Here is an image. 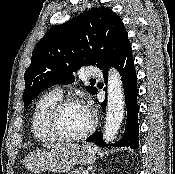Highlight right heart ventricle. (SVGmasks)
Returning <instances> with one entry per match:
<instances>
[{"instance_id":"obj_1","label":"right heart ventricle","mask_w":175,"mask_h":174,"mask_svg":"<svg viewBox=\"0 0 175 174\" xmlns=\"http://www.w3.org/2000/svg\"><path fill=\"white\" fill-rule=\"evenodd\" d=\"M60 99V94L49 92L41 96L36 102L31 119V130L38 142L52 143L57 140L48 130L47 115L51 107Z\"/></svg>"}]
</instances>
